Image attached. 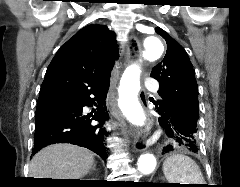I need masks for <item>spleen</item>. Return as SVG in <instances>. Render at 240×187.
<instances>
[{
  "instance_id": "1",
  "label": "spleen",
  "mask_w": 240,
  "mask_h": 187,
  "mask_svg": "<svg viewBox=\"0 0 240 187\" xmlns=\"http://www.w3.org/2000/svg\"><path fill=\"white\" fill-rule=\"evenodd\" d=\"M163 172L169 183H205L197 164L190 157L182 154L169 157L163 164Z\"/></svg>"
}]
</instances>
